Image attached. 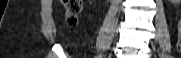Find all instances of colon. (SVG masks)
Instances as JSON below:
<instances>
[{
    "label": "colon",
    "instance_id": "obj_1",
    "mask_svg": "<svg viewBox=\"0 0 181 58\" xmlns=\"http://www.w3.org/2000/svg\"><path fill=\"white\" fill-rule=\"evenodd\" d=\"M65 9V17L70 26H74L77 23L78 16L82 10L81 0H62L61 1ZM178 47L181 51V20L178 24Z\"/></svg>",
    "mask_w": 181,
    "mask_h": 58
}]
</instances>
